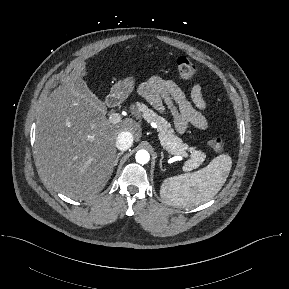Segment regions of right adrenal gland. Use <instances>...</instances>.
Wrapping results in <instances>:
<instances>
[{"mask_svg":"<svg viewBox=\"0 0 289 289\" xmlns=\"http://www.w3.org/2000/svg\"><path fill=\"white\" fill-rule=\"evenodd\" d=\"M122 154H123V151L117 154L115 166L117 165L118 160H119V158L121 157Z\"/></svg>","mask_w":289,"mask_h":289,"instance_id":"right-adrenal-gland-1","label":"right adrenal gland"}]
</instances>
